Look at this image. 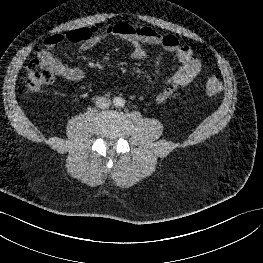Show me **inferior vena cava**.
<instances>
[{
    "mask_svg": "<svg viewBox=\"0 0 263 263\" xmlns=\"http://www.w3.org/2000/svg\"><path fill=\"white\" fill-rule=\"evenodd\" d=\"M111 105V100L106 97H99L96 99V107L106 109Z\"/></svg>",
    "mask_w": 263,
    "mask_h": 263,
    "instance_id": "inferior-vena-cava-1",
    "label": "inferior vena cava"
}]
</instances>
